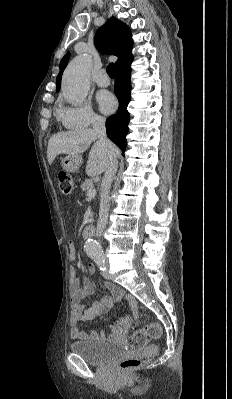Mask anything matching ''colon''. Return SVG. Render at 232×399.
Instances as JSON below:
<instances>
[{
    "label": "colon",
    "mask_w": 232,
    "mask_h": 399,
    "mask_svg": "<svg viewBox=\"0 0 232 399\" xmlns=\"http://www.w3.org/2000/svg\"><path fill=\"white\" fill-rule=\"evenodd\" d=\"M73 178L69 174L56 173V186L59 191L66 195H73ZM162 326L158 321H149L148 326H134V334L129 335L125 346V353H137V355L121 356L122 374H131V368H141V365H149V358L153 357L152 351H146V347L152 346V341H159L161 337Z\"/></svg>",
    "instance_id": "colon-1"
}]
</instances>
